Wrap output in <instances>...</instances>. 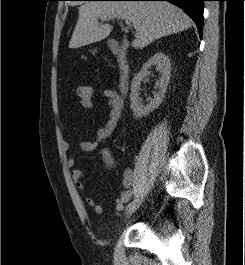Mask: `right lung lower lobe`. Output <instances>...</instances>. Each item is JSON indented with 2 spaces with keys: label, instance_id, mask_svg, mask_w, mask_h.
I'll return each instance as SVG.
<instances>
[{
  "label": "right lung lower lobe",
  "instance_id": "right-lung-lower-lobe-1",
  "mask_svg": "<svg viewBox=\"0 0 245 265\" xmlns=\"http://www.w3.org/2000/svg\"><path fill=\"white\" fill-rule=\"evenodd\" d=\"M90 1V0H88ZM118 1V0H117ZM119 1H168L187 12L195 22L200 36L203 26V1L205 0H119Z\"/></svg>",
  "mask_w": 245,
  "mask_h": 265
}]
</instances>
